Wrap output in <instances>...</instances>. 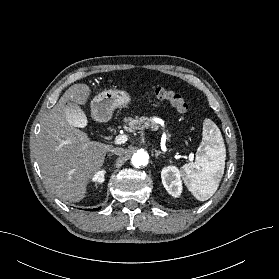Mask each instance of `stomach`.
<instances>
[{
    "label": "stomach",
    "mask_w": 279,
    "mask_h": 279,
    "mask_svg": "<svg viewBox=\"0 0 279 279\" xmlns=\"http://www.w3.org/2000/svg\"><path fill=\"white\" fill-rule=\"evenodd\" d=\"M131 101V96L125 90H104L91 102L92 116L96 121L107 122L112 118L115 109L125 107Z\"/></svg>",
    "instance_id": "1"
}]
</instances>
